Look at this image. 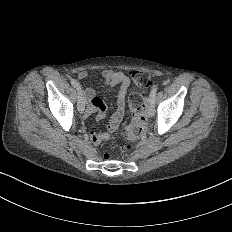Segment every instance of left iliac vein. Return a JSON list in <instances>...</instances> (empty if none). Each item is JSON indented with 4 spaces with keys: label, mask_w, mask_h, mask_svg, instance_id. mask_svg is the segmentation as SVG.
<instances>
[{
    "label": "left iliac vein",
    "mask_w": 232,
    "mask_h": 232,
    "mask_svg": "<svg viewBox=\"0 0 232 232\" xmlns=\"http://www.w3.org/2000/svg\"><path fill=\"white\" fill-rule=\"evenodd\" d=\"M147 115L150 117H153L155 115L154 107L152 105H149L147 107Z\"/></svg>",
    "instance_id": "left-iliac-vein-1"
}]
</instances>
